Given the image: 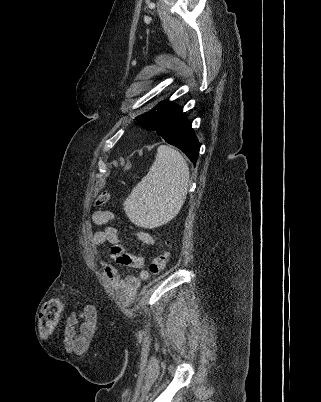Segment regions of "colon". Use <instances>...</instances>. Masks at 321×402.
Listing matches in <instances>:
<instances>
[{
    "instance_id": "5ec220e1",
    "label": "colon",
    "mask_w": 321,
    "mask_h": 402,
    "mask_svg": "<svg viewBox=\"0 0 321 402\" xmlns=\"http://www.w3.org/2000/svg\"><path fill=\"white\" fill-rule=\"evenodd\" d=\"M109 200V193L102 192L95 201L97 206H104ZM169 253L167 250H163L157 256L153 258L150 263V272L153 275L160 274L166 267L168 262ZM63 309V303L60 299L53 298L46 302L41 310L38 326L42 335H49L55 329L59 317Z\"/></svg>"
}]
</instances>
